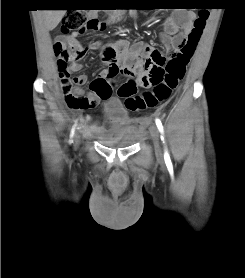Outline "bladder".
Segmentation results:
<instances>
[{"label": "bladder", "mask_w": 245, "mask_h": 278, "mask_svg": "<svg viewBox=\"0 0 245 278\" xmlns=\"http://www.w3.org/2000/svg\"><path fill=\"white\" fill-rule=\"evenodd\" d=\"M104 120L106 126L100 135L104 144L122 148L134 145L137 136L131 125L133 118L119 98L112 97L105 102Z\"/></svg>", "instance_id": "obj_1"}]
</instances>
